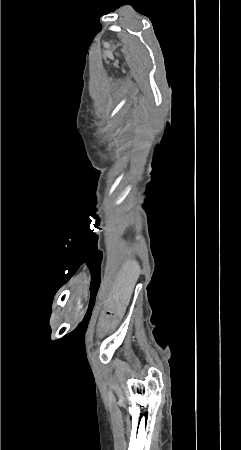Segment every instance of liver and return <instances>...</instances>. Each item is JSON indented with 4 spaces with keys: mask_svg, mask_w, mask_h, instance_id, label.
Segmentation results:
<instances>
[{
    "mask_svg": "<svg viewBox=\"0 0 241 450\" xmlns=\"http://www.w3.org/2000/svg\"><path fill=\"white\" fill-rule=\"evenodd\" d=\"M140 272V266L136 260H127L122 264L111 292L115 302H121L124 306H128Z\"/></svg>",
    "mask_w": 241,
    "mask_h": 450,
    "instance_id": "liver-1",
    "label": "liver"
}]
</instances>
